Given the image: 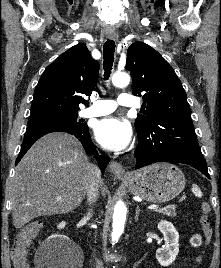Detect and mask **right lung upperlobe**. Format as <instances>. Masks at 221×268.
Instances as JSON below:
<instances>
[{"label":"right lung upper lobe","instance_id":"obj_1","mask_svg":"<svg viewBox=\"0 0 221 268\" xmlns=\"http://www.w3.org/2000/svg\"><path fill=\"white\" fill-rule=\"evenodd\" d=\"M99 76V63L86 45L77 44L62 53L42 74L34 91L30 116L78 112Z\"/></svg>","mask_w":221,"mask_h":268}]
</instances>
